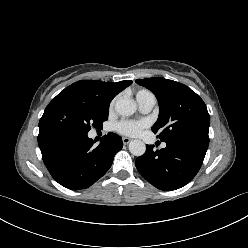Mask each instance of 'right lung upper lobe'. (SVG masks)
I'll return each mask as SVG.
<instances>
[{
  "label": "right lung upper lobe",
  "mask_w": 248,
  "mask_h": 248,
  "mask_svg": "<svg viewBox=\"0 0 248 248\" xmlns=\"http://www.w3.org/2000/svg\"><path fill=\"white\" fill-rule=\"evenodd\" d=\"M131 83V80L117 83L97 80H80L71 84L59 94L75 97L90 104L97 110L108 111L111 100Z\"/></svg>",
  "instance_id": "obj_1"
}]
</instances>
